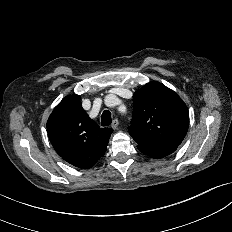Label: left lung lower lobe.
I'll list each match as a JSON object with an SVG mask.
<instances>
[{"label": "left lung lower lobe", "mask_w": 232, "mask_h": 232, "mask_svg": "<svg viewBox=\"0 0 232 232\" xmlns=\"http://www.w3.org/2000/svg\"><path fill=\"white\" fill-rule=\"evenodd\" d=\"M137 147L142 153L154 159H160L167 155H170L178 148L177 145H165L160 147H145L138 145Z\"/></svg>", "instance_id": "1"}]
</instances>
